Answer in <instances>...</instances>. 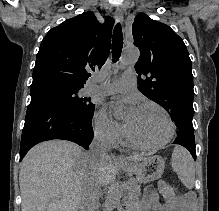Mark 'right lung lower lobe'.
<instances>
[{
	"label": "right lung lower lobe",
	"instance_id": "1",
	"mask_svg": "<svg viewBox=\"0 0 219 211\" xmlns=\"http://www.w3.org/2000/svg\"><path fill=\"white\" fill-rule=\"evenodd\" d=\"M92 116L75 112L57 96L31 94L21 136L20 161L34 145L52 139H64L88 149L93 140Z\"/></svg>",
	"mask_w": 219,
	"mask_h": 211
}]
</instances>
